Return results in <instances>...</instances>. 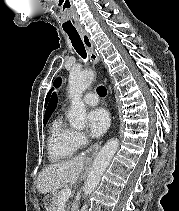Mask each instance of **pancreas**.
<instances>
[{
  "instance_id": "pancreas-1",
  "label": "pancreas",
  "mask_w": 179,
  "mask_h": 211,
  "mask_svg": "<svg viewBox=\"0 0 179 211\" xmlns=\"http://www.w3.org/2000/svg\"><path fill=\"white\" fill-rule=\"evenodd\" d=\"M59 196H60V192L55 193L52 204H51L52 211H57V208L60 202ZM71 211H75L74 206L72 207Z\"/></svg>"
}]
</instances>
